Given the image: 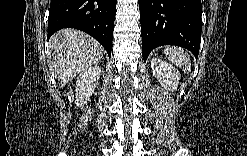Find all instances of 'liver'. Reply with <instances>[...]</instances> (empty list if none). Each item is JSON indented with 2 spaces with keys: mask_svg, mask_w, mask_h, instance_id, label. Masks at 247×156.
I'll use <instances>...</instances> for the list:
<instances>
[{
  "mask_svg": "<svg viewBox=\"0 0 247 156\" xmlns=\"http://www.w3.org/2000/svg\"><path fill=\"white\" fill-rule=\"evenodd\" d=\"M103 47L88 34L62 29L49 40V67L64 84L78 73L96 65L103 56Z\"/></svg>",
  "mask_w": 247,
  "mask_h": 156,
  "instance_id": "6515ba94",
  "label": "liver"
}]
</instances>
